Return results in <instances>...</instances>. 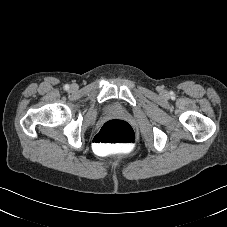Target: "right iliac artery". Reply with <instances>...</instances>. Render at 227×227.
<instances>
[{
  "instance_id": "obj_1",
  "label": "right iliac artery",
  "mask_w": 227,
  "mask_h": 227,
  "mask_svg": "<svg viewBox=\"0 0 227 227\" xmlns=\"http://www.w3.org/2000/svg\"><path fill=\"white\" fill-rule=\"evenodd\" d=\"M64 89H65V90H68V89H69V85L66 84V85L64 86Z\"/></svg>"
}]
</instances>
